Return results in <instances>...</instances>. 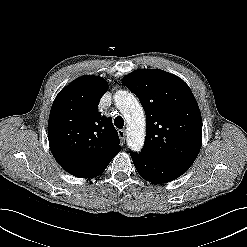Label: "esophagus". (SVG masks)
Segmentation results:
<instances>
[{
    "mask_svg": "<svg viewBox=\"0 0 247 247\" xmlns=\"http://www.w3.org/2000/svg\"><path fill=\"white\" fill-rule=\"evenodd\" d=\"M118 135H119V138H120L121 142L125 143V139H126L125 130L124 129L118 130Z\"/></svg>",
    "mask_w": 247,
    "mask_h": 247,
    "instance_id": "obj_1",
    "label": "esophagus"
}]
</instances>
